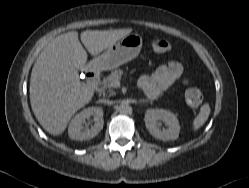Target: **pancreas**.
<instances>
[{"label":"pancreas","mask_w":249,"mask_h":188,"mask_svg":"<svg viewBox=\"0 0 249 188\" xmlns=\"http://www.w3.org/2000/svg\"><path fill=\"white\" fill-rule=\"evenodd\" d=\"M123 75V70L121 69H115L114 71L111 72L107 77H105L102 82H101V92L103 94L109 93L110 95H113V86L112 83L114 81H119Z\"/></svg>","instance_id":"1"}]
</instances>
